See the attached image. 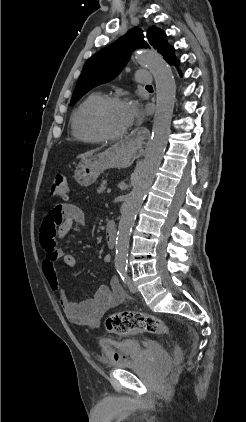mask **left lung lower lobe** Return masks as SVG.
<instances>
[{
  "label": "left lung lower lobe",
  "mask_w": 246,
  "mask_h": 422,
  "mask_svg": "<svg viewBox=\"0 0 246 422\" xmlns=\"http://www.w3.org/2000/svg\"><path fill=\"white\" fill-rule=\"evenodd\" d=\"M169 64H173L175 67H178L179 65V60L174 56V52L171 54V56L166 60ZM179 74H181V72L179 71Z\"/></svg>",
  "instance_id": "1"
}]
</instances>
